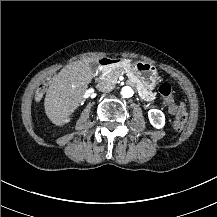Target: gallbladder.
<instances>
[{"instance_id": "gallbladder-1", "label": "gallbladder", "mask_w": 217, "mask_h": 217, "mask_svg": "<svg viewBox=\"0 0 217 217\" xmlns=\"http://www.w3.org/2000/svg\"><path fill=\"white\" fill-rule=\"evenodd\" d=\"M91 68H92L93 73H95L97 71V69H98V64L92 63Z\"/></svg>"}]
</instances>
